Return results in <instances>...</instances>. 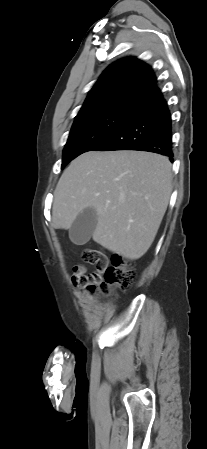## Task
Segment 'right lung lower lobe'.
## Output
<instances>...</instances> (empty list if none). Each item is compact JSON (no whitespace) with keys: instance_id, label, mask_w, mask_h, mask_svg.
Returning <instances> with one entry per match:
<instances>
[{"instance_id":"obj_1","label":"right lung lower lobe","mask_w":207,"mask_h":449,"mask_svg":"<svg viewBox=\"0 0 207 449\" xmlns=\"http://www.w3.org/2000/svg\"><path fill=\"white\" fill-rule=\"evenodd\" d=\"M171 114L161 97L138 111L93 151L139 150L165 155L173 161Z\"/></svg>"}]
</instances>
